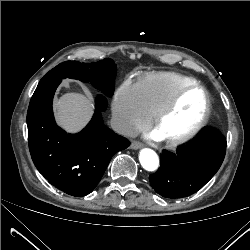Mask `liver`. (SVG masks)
Segmentation results:
<instances>
[{
    "mask_svg": "<svg viewBox=\"0 0 250 250\" xmlns=\"http://www.w3.org/2000/svg\"><path fill=\"white\" fill-rule=\"evenodd\" d=\"M57 122L68 132L81 130L93 113L91 100L79 93L68 92L54 105Z\"/></svg>",
    "mask_w": 250,
    "mask_h": 250,
    "instance_id": "1",
    "label": "liver"
}]
</instances>
